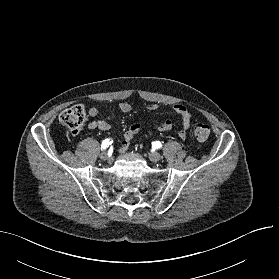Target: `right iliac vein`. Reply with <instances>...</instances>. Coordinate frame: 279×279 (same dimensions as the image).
<instances>
[{
    "label": "right iliac vein",
    "instance_id": "1",
    "mask_svg": "<svg viewBox=\"0 0 279 279\" xmlns=\"http://www.w3.org/2000/svg\"><path fill=\"white\" fill-rule=\"evenodd\" d=\"M100 158H101L102 160H109V159H110V156H109V154H108L107 151H103V152L100 154Z\"/></svg>",
    "mask_w": 279,
    "mask_h": 279
}]
</instances>
